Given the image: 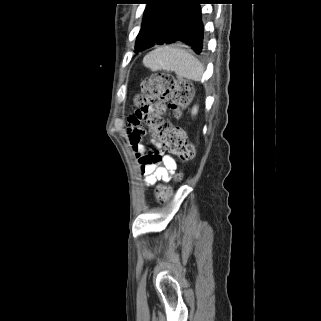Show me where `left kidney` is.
<instances>
[{"instance_id":"5707ae66","label":"left kidney","mask_w":321,"mask_h":321,"mask_svg":"<svg viewBox=\"0 0 321 321\" xmlns=\"http://www.w3.org/2000/svg\"><path fill=\"white\" fill-rule=\"evenodd\" d=\"M198 112V107L197 106H194L193 109H192V114L193 115H196Z\"/></svg>"}]
</instances>
